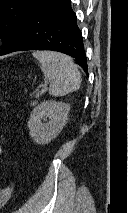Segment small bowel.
<instances>
[{
	"label": "small bowel",
	"mask_w": 128,
	"mask_h": 213,
	"mask_svg": "<svg viewBox=\"0 0 128 213\" xmlns=\"http://www.w3.org/2000/svg\"><path fill=\"white\" fill-rule=\"evenodd\" d=\"M2 154V147H1V145H0V155Z\"/></svg>",
	"instance_id": "c3829d8e"
}]
</instances>
